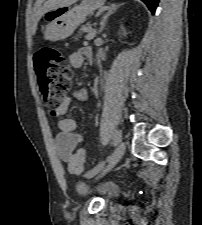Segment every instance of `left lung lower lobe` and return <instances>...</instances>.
Listing matches in <instances>:
<instances>
[{"mask_svg": "<svg viewBox=\"0 0 202 225\" xmlns=\"http://www.w3.org/2000/svg\"><path fill=\"white\" fill-rule=\"evenodd\" d=\"M142 1L148 6L152 14H154L159 0H142Z\"/></svg>", "mask_w": 202, "mask_h": 225, "instance_id": "0a47b994", "label": "left lung lower lobe"}]
</instances>
